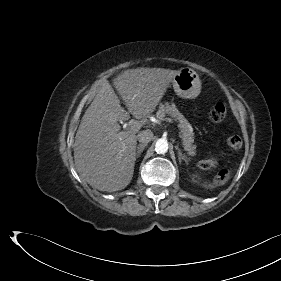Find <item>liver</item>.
<instances>
[{
	"label": "liver",
	"instance_id": "obj_1",
	"mask_svg": "<svg viewBox=\"0 0 281 281\" xmlns=\"http://www.w3.org/2000/svg\"><path fill=\"white\" fill-rule=\"evenodd\" d=\"M177 74L164 68H136L118 75L114 85L128 111L121 107L109 83L99 89L81 119L74 142L76 169L90 186L115 192L131 182L137 132H120L118 122L128 120L129 113L136 119L149 117Z\"/></svg>",
	"mask_w": 281,
	"mask_h": 281
}]
</instances>
